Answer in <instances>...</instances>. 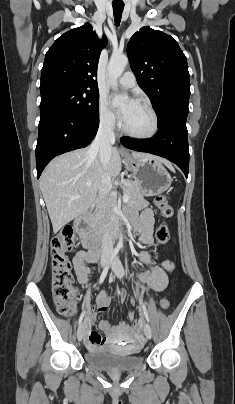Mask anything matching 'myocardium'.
<instances>
[{"instance_id": "f54148a6", "label": "myocardium", "mask_w": 235, "mask_h": 404, "mask_svg": "<svg viewBox=\"0 0 235 404\" xmlns=\"http://www.w3.org/2000/svg\"><path fill=\"white\" fill-rule=\"evenodd\" d=\"M139 105L143 106L151 115L152 118V126L149 132L144 133V134H138V133H134L130 130H128L124 123H121V131L123 132V134H125L126 136L136 139V140H149L153 137L156 136V134L158 133L159 130V118H158V114L155 111V109L153 108V106L148 103L145 100H139L137 102Z\"/></svg>"}]
</instances>
